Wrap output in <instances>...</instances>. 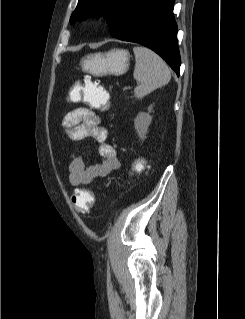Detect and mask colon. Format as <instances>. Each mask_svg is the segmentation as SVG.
Listing matches in <instances>:
<instances>
[{
    "instance_id": "5ec220e1",
    "label": "colon",
    "mask_w": 245,
    "mask_h": 319,
    "mask_svg": "<svg viewBox=\"0 0 245 319\" xmlns=\"http://www.w3.org/2000/svg\"><path fill=\"white\" fill-rule=\"evenodd\" d=\"M77 95L79 101L84 102L91 109L100 111L109 109L110 99L107 91L89 76L84 78L83 85L78 86ZM144 170L145 163L142 160H138L132 168V172L134 173H141ZM93 202L94 194L87 189L77 190L71 196V204L79 212L87 211L92 207Z\"/></svg>"
}]
</instances>
